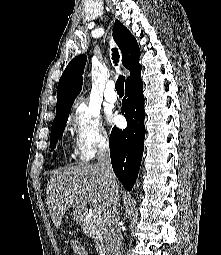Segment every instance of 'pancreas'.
Returning <instances> with one entry per match:
<instances>
[{
    "instance_id": "cf45deb5",
    "label": "pancreas",
    "mask_w": 221,
    "mask_h": 255,
    "mask_svg": "<svg viewBox=\"0 0 221 255\" xmlns=\"http://www.w3.org/2000/svg\"><path fill=\"white\" fill-rule=\"evenodd\" d=\"M81 227L94 240L96 247L101 248L103 220L100 213L93 211L90 215L87 214L82 220Z\"/></svg>"
}]
</instances>
